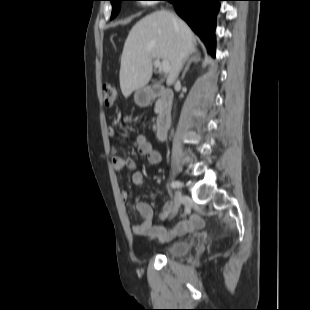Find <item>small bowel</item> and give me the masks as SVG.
<instances>
[{
  "label": "small bowel",
  "instance_id": "small-bowel-1",
  "mask_svg": "<svg viewBox=\"0 0 310 310\" xmlns=\"http://www.w3.org/2000/svg\"><path fill=\"white\" fill-rule=\"evenodd\" d=\"M107 133L112 140L119 137L118 130L115 127H109ZM130 143L136 147L139 154L147 157L150 164L159 165L162 163V155L144 135L137 136L134 140L130 141ZM112 164L116 172H121L124 169H135L134 160L130 157L121 156L115 148L112 149ZM131 180L132 183L137 186L145 182V178L140 172H134L131 176ZM121 198L123 201H127L129 194L123 190L121 192ZM174 206V201H167L164 204L160 218L165 219L168 213L174 209ZM133 208L140 217V221L132 227L133 233L138 236L155 239L159 242L170 241L183 234L192 233L203 225L201 216L192 215L189 218H183L171 228L167 229L163 226L153 225V210L149 204L145 202H136Z\"/></svg>",
  "mask_w": 310,
  "mask_h": 310
}]
</instances>
